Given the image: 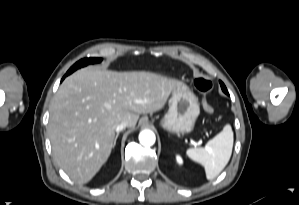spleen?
Masks as SVG:
<instances>
[{
    "instance_id": "3e777b00",
    "label": "spleen",
    "mask_w": 299,
    "mask_h": 205,
    "mask_svg": "<svg viewBox=\"0 0 299 205\" xmlns=\"http://www.w3.org/2000/svg\"><path fill=\"white\" fill-rule=\"evenodd\" d=\"M233 131L229 124L209 140L203 148H191L186 155L193 161L201 164L206 173V178H216L228 164L233 148Z\"/></svg>"
}]
</instances>
